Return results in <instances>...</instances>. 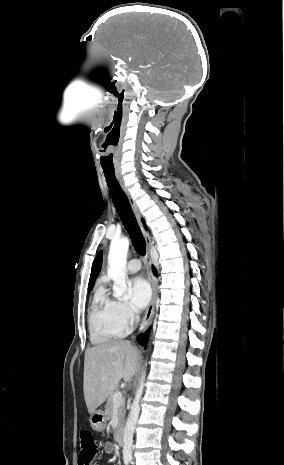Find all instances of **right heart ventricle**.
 I'll list each match as a JSON object with an SVG mask.
<instances>
[{
    "instance_id": "right-heart-ventricle-1",
    "label": "right heart ventricle",
    "mask_w": 284,
    "mask_h": 465,
    "mask_svg": "<svg viewBox=\"0 0 284 465\" xmlns=\"http://www.w3.org/2000/svg\"><path fill=\"white\" fill-rule=\"evenodd\" d=\"M88 328L92 343L98 346L118 340L125 333L111 301L103 293L96 294L93 299L88 313Z\"/></svg>"
}]
</instances>
